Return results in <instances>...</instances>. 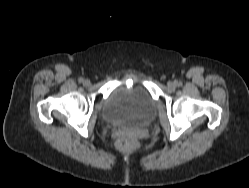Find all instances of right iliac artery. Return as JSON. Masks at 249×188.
<instances>
[{"label":"right iliac artery","instance_id":"82829eb1","mask_svg":"<svg viewBox=\"0 0 249 188\" xmlns=\"http://www.w3.org/2000/svg\"><path fill=\"white\" fill-rule=\"evenodd\" d=\"M78 81H79L80 83H82V82H84V79H83L82 77H80V78L78 79Z\"/></svg>","mask_w":249,"mask_h":188}]
</instances>
